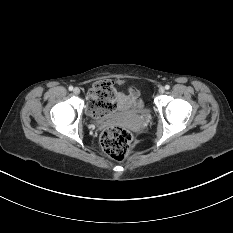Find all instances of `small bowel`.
Segmentation results:
<instances>
[{
	"label": "small bowel",
	"instance_id": "obj_1",
	"mask_svg": "<svg viewBox=\"0 0 233 233\" xmlns=\"http://www.w3.org/2000/svg\"><path fill=\"white\" fill-rule=\"evenodd\" d=\"M117 108L126 109L129 107H136L141 104L139 92L136 88L130 87L126 92H118Z\"/></svg>",
	"mask_w": 233,
	"mask_h": 233
}]
</instances>
